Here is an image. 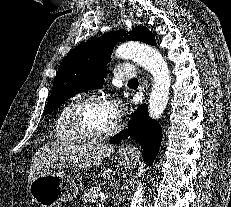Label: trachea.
Listing matches in <instances>:
<instances>
[{"label":"trachea","instance_id":"obj_1","mask_svg":"<svg viewBox=\"0 0 231 207\" xmlns=\"http://www.w3.org/2000/svg\"><path fill=\"white\" fill-rule=\"evenodd\" d=\"M128 83H138V79L134 78V79L130 80Z\"/></svg>","mask_w":231,"mask_h":207}]
</instances>
